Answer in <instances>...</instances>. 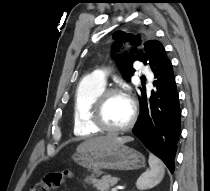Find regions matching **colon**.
<instances>
[{
	"instance_id": "obj_1",
	"label": "colon",
	"mask_w": 210,
	"mask_h": 191,
	"mask_svg": "<svg viewBox=\"0 0 210 191\" xmlns=\"http://www.w3.org/2000/svg\"><path fill=\"white\" fill-rule=\"evenodd\" d=\"M71 176L70 170L48 172L39 182L31 187L30 191H56Z\"/></svg>"
}]
</instances>
